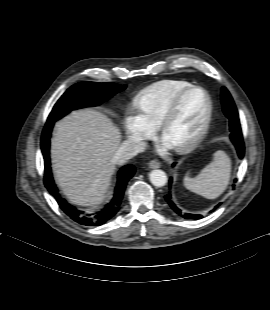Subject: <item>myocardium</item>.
Here are the masks:
<instances>
[{"label":"myocardium","instance_id":"obj_1","mask_svg":"<svg viewBox=\"0 0 270 310\" xmlns=\"http://www.w3.org/2000/svg\"><path fill=\"white\" fill-rule=\"evenodd\" d=\"M199 92L201 93L205 99H206V110L205 114L202 120V123L197 130V132L192 135L191 137L183 140L180 142L177 146L174 147L175 151L178 153H187L191 150H193L197 145L205 138L209 126L212 119V113H213V102L210 94L206 89L200 86H190L189 88L185 89L184 91L180 92L170 103L169 107L165 111L159 125H158V131L160 136L163 138L164 133L171 123V121L174 119L175 115L177 114L182 102L184 99L192 93Z\"/></svg>","mask_w":270,"mask_h":310}]
</instances>
